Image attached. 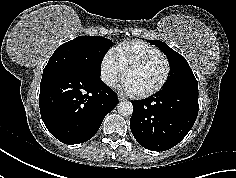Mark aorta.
I'll list each match as a JSON object with an SVG mask.
<instances>
[{"label": "aorta", "mask_w": 236, "mask_h": 178, "mask_svg": "<svg viewBox=\"0 0 236 178\" xmlns=\"http://www.w3.org/2000/svg\"><path fill=\"white\" fill-rule=\"evenodd\" d=\"M117 110L120 115L128 117L133 113V105L129 101H123L117 105Z\"/></svg>", "instance_id": "obj_1"}]
</instances>
